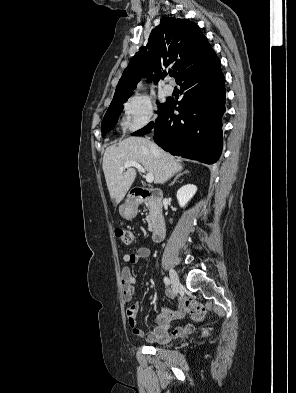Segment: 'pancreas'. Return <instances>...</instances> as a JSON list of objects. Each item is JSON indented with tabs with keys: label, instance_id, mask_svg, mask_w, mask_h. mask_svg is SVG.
Segmentation results:
<instances>
[{
	"label": "pancreas",
	"instance_id": "cf45deb5",
	"mask_svg": "<svg viewBox=\"0 0 296 393\" xmlns=\"http://www.w3.org/2000/svg\"><path fill=\"white\" fill-rule=\"evenodd\" d=\"M147 206L149 208V214L147 215L146 220L148 222V228L151 229L152 225H153L155 210H154V206L152 203H148Z\"/></svg>",
	"mask_w": 296,
	"mask_h": 393
}]
</instances>
